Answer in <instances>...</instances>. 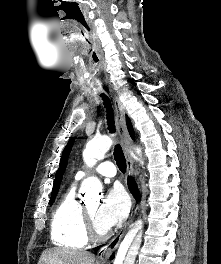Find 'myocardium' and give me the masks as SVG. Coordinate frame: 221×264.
<instances>
[{
	"label": "myocardium",
	"mask_w": 221,
	"mask_h": 264,
	"mask_svg": "<svg viewBox=\"0 0 221 264\" xmlns=\"http://www.w3.org/2000/svg\"><path fill=\"white\" fill-rule=\"evenodd\" d=\"M83 216H84V222L86 227L87 235L92 240H103L108 236V230L100 231L97 229L95 222L86 209V207H83Z\"/></svg>",
	"instance_id": "myocardium-1"
}]
</instances>
